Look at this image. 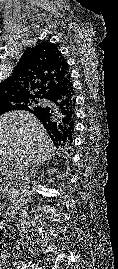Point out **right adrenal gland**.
I'll list each match as a JSON object with an SVG mask.
<instances>
[{"label":"right adrenal gland","mask_w":118,"mask_h":269,"mask_svg":"<svg viewBox=\"0 0 118 269\" xmlns=\"http://www.w3.org/2000/svg\"><path fill=\"white\" fill-rule=\"evenodd\" d=\"M38 165L36 166H33L32 170H31V177L35 176L36 172H37V169H38Z\"/></svg>","instance_id":"right-adrenal-gland-1"}]
</instances>
